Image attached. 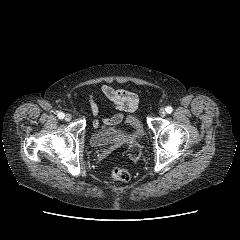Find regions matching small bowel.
Masks as SVG:
<instances>
[{"instance_id": "obj_1", "label": "small bowel", "mask_w": 240, "mask_h": 240, "mask_svg": "<svg viewBox=\"0 0 240 240\" xmlns=\"http://www.w3.org/2000/svg\"><path fill=\"white\" fill-rule=\"evenodd\" d=\"M95 91H98L103 97L112 102L120 111V113H117L110 118H105L101 121L95 120V129H107L111 126L119 124L123 117L122 113L134 111L138 106L140 91L134 88L125 89L120 86L114 87L108 84H101L98 87L90 88L85 95V102H88L91 106L94 116H97L98 114V105L95 100ZM76 96L77 93H74V97Z\"/></svg>"}]
</instances>
